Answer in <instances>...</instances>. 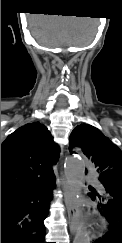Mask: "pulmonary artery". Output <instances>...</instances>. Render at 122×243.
Returning <instances> with one entry per match:
<instances>
[{"mask_svg": "<svg viewBox=\"0 0 122 243\" xmlns=\"http://www.w3.org/2000/svg\"><path fill=\"white\" fill-rule=\"evenodd\" d=\"M88 179H90L91 180V182L94 184V185H96V186H99L100 184H99V182H98V180L96 179V178H94V177H89Z\"/></svg>", "mask_w": 122, "mask_h": 243, "instance_id": "pulmonary-artery-1", "label": "pulmonary artery"}]
</instances>
